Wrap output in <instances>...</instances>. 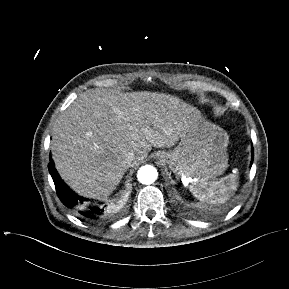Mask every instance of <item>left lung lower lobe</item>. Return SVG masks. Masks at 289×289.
<instances>
[{
    "instance_id": "left-lung-lower-lobe-1",
    "label": "left lung lower lobe",
    "mask_w": 289,
    "mask_h": 289,
    "mask_svg": "<svg viewBox=\"0 0 289 289\" xmlns=\"http://www.w3.org/2000/svg\"><path fill=\"white\" fill-rule=\"evenodd\" d=\"M253 155H254V151H252V157H253ZM252 162H253V158H252V161H251V165H252Z\"/></svg>"
}]
</instances>
